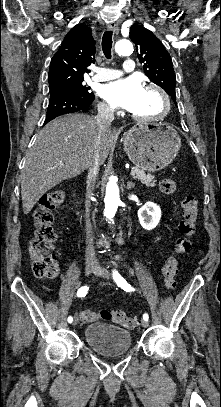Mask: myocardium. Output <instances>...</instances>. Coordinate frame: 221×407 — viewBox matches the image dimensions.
Instances as JSON below:
<instances>
[{"label":"myocardium","instance_id":"myocardium-1","mask_svg":"<svg viewBox=\"0 0 221 407\" xmlns=\"http://www.w3.org/2000/svg\"><path fill=\"white\" fill-rule=\"evenodd\" d=\"M144 89L145 90H154L159 94V96L162 100V111L158 115L151 116V117L138 116L131 112V117L134 120H136L138 122H142V123L157 122V121L164 119L167 116V114L169 113L170 107H171V101H170V97H169L167 91L162 86L155 84V83L147 84Z\"/></svg>","mask_w":221,"mask_h":407}]
</instances>
